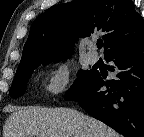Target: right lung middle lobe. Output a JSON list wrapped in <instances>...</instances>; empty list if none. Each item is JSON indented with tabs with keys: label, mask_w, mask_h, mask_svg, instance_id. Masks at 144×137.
<instances>
[{
	"label": "right lung middle lobe",
	"mask_w": 144,
	"mask_h": 137,
	"mask_svg": "<svg viewBox=\"0 0 144 137\" xmlns=\"http://www.w3.org/2000/svg\"><path fill=\"white\" fill-rule=\"evenodd\" d=\"M69 57V56H68ZM67 58V57H62ZM62 58L57 59H37L30 61L24 65L18 66L15 77L10 89V95L14 98L21 96L26 88L27 81L36 67L43 64L50 63L51 61H60ZM96 70H79L78 78L71 88L66 92V100L77 99L85 90L86 86L93 79Z\"/></svg>",
	"instance_id": "1"
}]
</instances>
